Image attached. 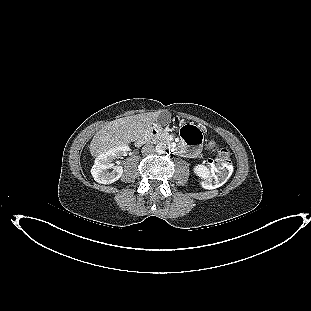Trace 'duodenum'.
I'll return each instance as SVG.
<instances>
[{"label":"duodenum","instance_id":"1","mask_svg":"<svg viewBox=\"0 0 311 311\" xmlns=\"http://www.w3.org/2000/svg\"><path fill=\"white\" fill-rule=\"evenodd\" d=\"M162 136L161 134V131L156 128V127H152V128H149L144 134L143 136H141L140 138H138L135 142V144L137 146H141L143 145L144 143L148 142L149 140H152V139H157V138H160ZM171 152L172 153H175L176 152V148L174 147H171L170 148Z\"/></svg>","mask_w":311,"mask_h":311}]
</instances>
